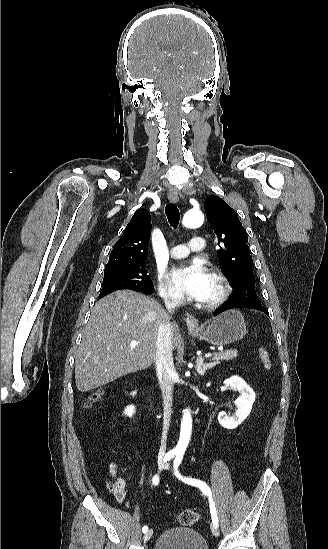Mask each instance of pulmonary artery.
Instances as JSON below:
<instances>
[{"label":"pulmonary artery","instance_id":"e3ab8cb5","mask_svg":"<svg viewBox=\"0 0 328 549\" xmlns=\"http://www.w3.org/2000/svg\"><path fill=\"white\" fill-rule=\"evenodd\" d=\"M186 243L193 252H205L207 249L206 242L201 241L200 237H189ZM187 246H175L174 249L170 252L171 257L174 259L187 257L190 252Z\"/></svg>","mask_w":328,"mask_h":549}]
</instances>
